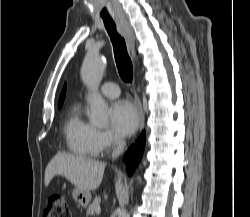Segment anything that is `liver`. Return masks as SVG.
<instances>
[{
  "instance_id": "liver-1",
  "label": "liver",
  "mask_w": 250,
  "mask_h": 217,
  "mask_svg": "<svg viewBox=\"0 0 250 217\" xmlns=\"http://www.w3.org/2000/svg\"><path fill=\"white\" fill-rule=\"evenodd\" d=\"M104 170L102 162L58 152L46 167L44 184L47 187L54 176L60 175L78 190H95L101 184Z\"/></svg>"
}]
</instances>
